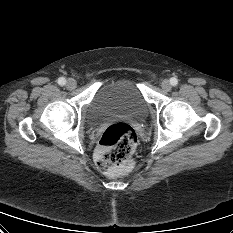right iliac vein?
<instances>
[{
    "label": "right iliac vein",
    "mask_w": 233,
    "mask_h": 233,
    "mask_svg": "<svg viewBox=\"0 0 233 233\" xmlns=\"http://www.w3.org/2000/svg\"><path fill=\"white\" fill-rule=\"evenodd\" d=\"M77 86V82L73 78H69L66 82V87L69 90L75 89Z\"/></svg>",
    "instance_id": "right-iliac-vein-1"
}]
</instances>
